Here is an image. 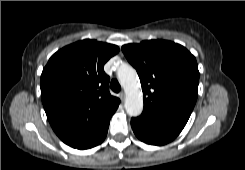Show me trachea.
Returning <instances> with one entry per match:
<instances>
[{
    "label": "trachea",
    "mask_w": 245,
    "mask_h": 170,
    "mask_svg": "<svg viewBox=\"0 0 245 170\" xmlns=\"http://www.w3.org/2000/svg\"><path fill=\"white\" fill-rule=\"evenodd\" d=\"M110 87H111L112 91H114L116 93L120 92V90H121V86L116 79L111 81Z\"/></svg>",
    "instance_id": "3493384b"
}]
</instances>
